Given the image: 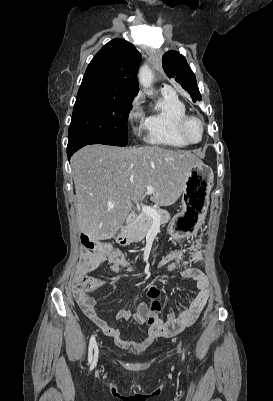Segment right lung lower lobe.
<instances>
[{"instance_id": "1", "label": "right lung lower lobe", "mask_w": 273, "mask_h": 401, "mask_svg": "<svg viewBox=\"0 0 273 401\" xmlns=\"http://www.w3.org/2000/svg\"><path fill=\"white\" fill-rule=\"evenodd\" d=\"M88 144H96L94 142H88V141H80V142H73V143H68L67 146V155L68 159L80 148L88 145Z\"/></svg>"}]
</instances>
